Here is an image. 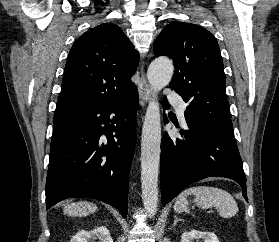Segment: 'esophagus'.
<instances>
[{
	"label": "esophagus",
	"instance_id": "34e87169",
	"mask_svg": "<svg viewBox=\"0 0 279 242\" xmlns=\"http://www.w3.org/2000/svg\"><path fill=\"white\" fill-rule=\"evenodd\" d=\"M138 93H139V101L142 106H145L147 103H149L152 95V89L147 82L143 70L141 71V79L138 86Z\"/></svg>",
	"mask_w": 279,
	"mask_h": 242
}]
</instances>
